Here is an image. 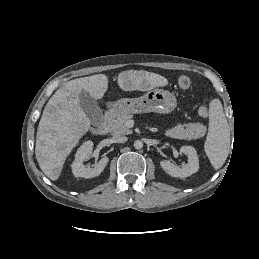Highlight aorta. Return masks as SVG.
<instances>
[{
	"mask_svg": "<svg viewBox=\"0 0 259 259\" xmlns=\"http://www.w3.org/2000/svg\"><path fill=\"white\" fill-rule=\"evenodd\" d=\"M134 148L137 149V150L142 149V148H143V142L140 141V140H136V141L134 142Z\"/></svg>",
	"mask_w": 259,
	"mask_h": 259,
	"instance_id": "aorta-1",
	"label": "aorta"
}]
</instances>
